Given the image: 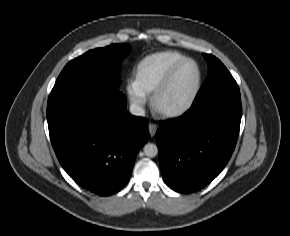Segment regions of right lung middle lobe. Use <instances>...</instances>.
I'll return each mask as SVG.
<instances>
[{"label":"right lung middle lobe","mask_w":290,"mask_h":236,"mask_svg":"<svg viewBox=\"0 0 290 236\" xmlns=\"http://www.w3.org/2000/svg\"><path fill=\"white\" fill-rule=\"evenodd\" d=\"M130 50V45L113 44L90 50L71 60L60 73L50 94L118 90V68Z\"/></svg>","instance_id":"obj_1"}]
</instances>
